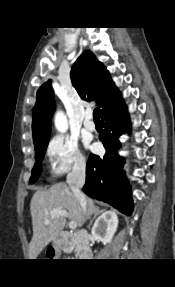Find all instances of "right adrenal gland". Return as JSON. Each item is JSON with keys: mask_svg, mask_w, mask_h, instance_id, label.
<instances>
[{"mask_svg": "<svg viewBox=\"0 0 175 287\" xmlns=\"http://www.w3.org/2000/svg\"><path fill=\"white\" fill-rule=\"evenodd\" d=\"M103 212H104V210H99V208H97V210L94 212V216H93V218L91 219V221H90L88 227H90V226L92 225V222H93V220L96 218V216H98L99 214H101V213H103Z\"/></svg>", "mask_w": 175, "mask_h": 287, "instance_id": "2a0ac1e0", "label": "right adrenal gland"}]
</instances>
